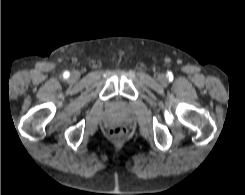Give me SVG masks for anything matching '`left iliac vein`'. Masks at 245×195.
<instances>
[{"label": "left iliac vein", "mask_w": 245, "mask_h": 195, "mask_svg": "<svg viewBox=\"0 0 245 195\" xmlns=\"http://www.w3.org/2000/svg\"><path fill=\"white\" fill-rule=\"evenodd\" d=\"M158 80L164 84L167 82V76L165 74H159Z\"/></svg>", "instance_id": "1"}]
</instances>
